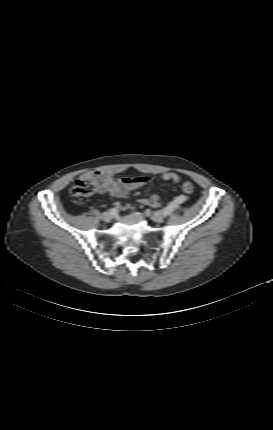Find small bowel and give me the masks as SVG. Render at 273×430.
Listing matches in <instances>:
<instances>
[{"label":"small bowel","mask_w":273,"mask_h":430,"mask_svg":"<svg viewBox=\"0 0 273 430\" xmlns=\"http://www.w3.org/2000/svg\"><path fill=\"white\" fill-rule=\"evenodd\" d=\"M96 176L99 181L98 192H107L116 198H127L131 193L145 187L151 182V177L148 176L115 178L111 174L105 172H97ZM161 177L172 184H177L180 181V176L175 172H165ZM178 200L180 203H183L185 197L180 195L178 196ZM139 203L157 208L160 206L161 200L158 195L154 194L147 198L139 199ZM116 207L121 210H126L129 208V205L118 203Z\"/></svg>","instance_id":"obj_1"}]
</instances>
